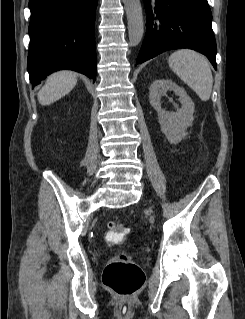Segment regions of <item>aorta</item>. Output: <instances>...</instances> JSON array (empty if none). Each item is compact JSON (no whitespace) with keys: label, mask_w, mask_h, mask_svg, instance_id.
Instances as JSON below:
<instances>
[{"label":"aorta","mask_w":245,"mask_h":319,"mask_svg":"<svg viewBox=\"0 0 245 319\" xmlns=\"http://www.w3.org/2000/svg\"><path fill=\"white\" fill-rule=\"evenodd\" d=\"M128 21V35L131 46H137L143 37L144 22L140 0H123Z\"/></svg>","instance_id":"1"}]
</instances>
